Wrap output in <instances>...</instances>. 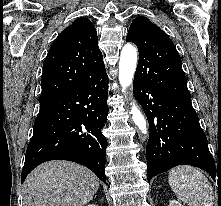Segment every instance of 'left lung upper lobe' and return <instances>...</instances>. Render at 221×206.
Wrapping results in <instances>:
<instances>
[{
    "mask_svg": "<svg viewBox=\"0 0 221 206\" xmlns=\"http://www.w3.org/2000/svg\"><path fill=\"white\" fill-rule=\"evenodd\" d=\"M126 41L139 50L134 81L165 95L191 100L179 53L170 38L146 17L139 16L131 24Z\"/></svg>",
    "mask_w": 221,
    "mask_h": 206,
    "instance_id": "left-lung-upper-lobe-1",
    "label": "left lung upper lobe"
}]
</instances>
